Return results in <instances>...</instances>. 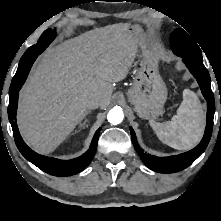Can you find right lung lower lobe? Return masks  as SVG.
Listing matches in <instances>:
<instances>
[{"label": "right lung lower lobe", "instance_id": "98d812e1", "mask_svg": "<svg viewBox=\"0 0 221 221\" xmlns=\"http://www.w3.org/2000/svg\"><path fill=\"white\" fill-rule=\"evenodd\" d=\"M42 51H29L27 50L22 56L17 72L12 79L11 86L9 89V106H8V117L12 126L14 139L16 145L21 152V154L35 166L40 168L42 171L54 175V176H70L82 171L85 167H87L92 160L98 143L99 132L101 128H99L93 139L89 150L84 153L82 156L72 159V160H59L51 157H46L37 154L32 151L23 141L20 136V133L16 124V112H17V104H18V95L19 90L24 84L28 73L31 69V66L37 56Z\"/></svg>", "mask_w": 221, "mask_h": 221}]
</instances>
